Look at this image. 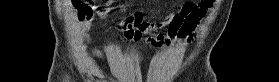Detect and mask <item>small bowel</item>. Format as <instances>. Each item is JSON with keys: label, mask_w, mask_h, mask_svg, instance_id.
I'll use <instances>...</instances> for the list:
<instances>
[{"label": "small bowel", "mask_w": 279, "mask_h": 82, "mask_svg": "<svg viewBox=\"0 0 279 82\" xmlns=\"http://www.w3.org/2000/svg\"><path fill=\"white\" fill-rule=\"evenodd\" d=\"M72 7L77 11L79 26L82 30L85 42H89L88 30L93 19L94 13L97 12L101 17H106L112 8V1H107L104 8L95 9L94 5L80 6L78 2L72 1ZM212 6V1L191 2L185 4L178 11L169 12L165 19L157 25L159 29H166V33H156L151 41L157 46H168L178 41H188L195 30L196 24L200 22L206 15L209 8ZM116 27L121 30L124 37L129 40H140L144 34L149 31L150 26L142 21L139 29L134 30L130 25L124 21H119ZM108 51L114 49V46L108 44L106 46ZM90 52L101 59L106 57L104 51L91 48Z\"/></svg>", "instance_id": "c3829d8e"}]
</instances>
